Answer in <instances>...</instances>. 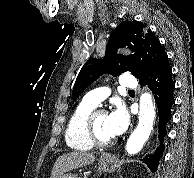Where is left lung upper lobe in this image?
<instances>
[{
    "instance_id": "5c2ea615",
    "label": "left lung upper lobe",
    "mask_w": 194,
    "mask_h": 178,
    "mask_svg": "<svg viewBox=\"0 0 194 178\" xmlns=\"http://www.w3.org/2000/svg\"><path fill=\"white\" fill-rule=\"evenodd\" d=\"M130 48L132 56L117 55V49ZM167 56L158 38L138 21H125L112 32L104 59H90L80 70L72 91V98L79 95L104 73L118 76L129 71L139 80L147 76Z\"/></svg>"
}]
</instances>
